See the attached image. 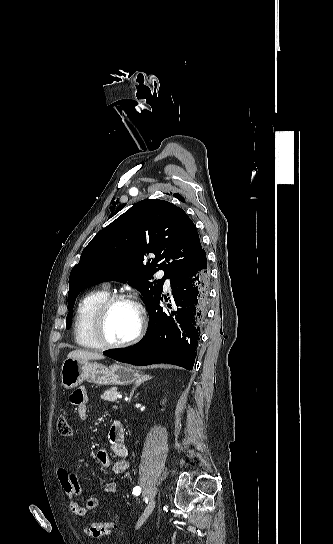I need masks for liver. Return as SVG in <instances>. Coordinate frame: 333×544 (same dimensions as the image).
<instances>
[{
  "label": "liver",
  "instance_id": "obj_1",
  "mask_svg": "<svg viewBox=\"0 0 333 544\" xmlns=\"http://www.w3.org/2000/svg\"><path fill=\"white\" fill-rule=\"evenodd\" d=\"M69 358L88 361V360H101V359H104L105 357L102 354L97 352H91V351L78 349V350L71 351L67 356V359Z\"/></svg>",
  "mask_w": 333,
  "mask_h": 544
}]
</instances>
